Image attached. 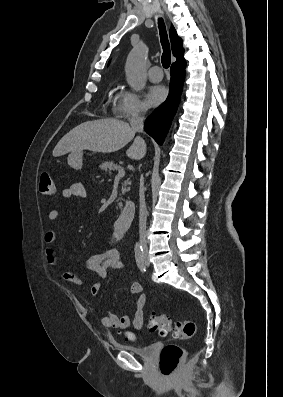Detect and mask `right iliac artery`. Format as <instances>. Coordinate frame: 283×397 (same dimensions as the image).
<instances>
[{
  "label": "right iliac artery",
  "instance_id": "right-iliac-artery-1",
  "mask_svg": "<svg viewBox=\"0 0 283 397\" xmlns=\"http://www.w3.org/2000/svg\"><path fill=\"white\" fill-rule=\"evenodd\" d=\"M135 258H136V262H137V265H138L139 269L142 272H145L146 271V267H145V264H144V261H143V250H136Z\"/></svg>",
  "mask_w": 283,
  "mask_h": 397
}]
</instances>
